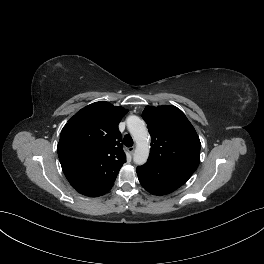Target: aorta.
<instances>
[{"mask_svg": "<svg viewBox=\"0 0 264 264\" xmlns=\"http://www.w3.org/2000/svg\"><path fill=\"white\" fill-rule=\"evenodd\" d=\"M127 128L136 142L133 161L137 165H143L149 157V135L145 123L138 116H130Z\"/></svg>", "mask_w": 264, "mask_h": 264, "instance_id": "1", "label": "aorta"}]
</instances>
